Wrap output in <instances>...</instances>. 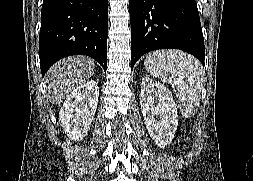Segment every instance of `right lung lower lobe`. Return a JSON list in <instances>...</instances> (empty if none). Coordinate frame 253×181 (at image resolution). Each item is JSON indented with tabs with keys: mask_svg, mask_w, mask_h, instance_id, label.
<instances>
[{
	"mask_svg": "<svg viewBox=\"0 0 253 181\" xmlns=\"http://www.w3.org/2000/svg\"><path fill=\"white\" fill-rule=\"evenodd\" d=\"M108 0H44L39 57L42 76L58 60L87 55L106 72Z\"/></svg>",
	"mask_w": 253,
	"mask_h": 181,
	"instance_id": "obj_1",
	"label": "right lung lower lobe"
}]
</instances>
